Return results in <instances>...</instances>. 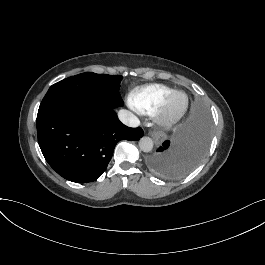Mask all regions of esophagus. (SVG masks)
<instances>
[{"label": "esophagus", "mask_w": 265, "mask_h": 265, "mask_svg": "<svg viewBox=\"0 0 265 265\" xmlns=\"http://www.w3.org/2000/svg\"><path fill=\"white\" fill-rule=\"evenodd\" d=\"M149 136H151L154 140L156 144H160L165 137V134L160 132V131H151L148 133Z\"/></svg>", "instance_id": "34e87169"}]
</instances>
